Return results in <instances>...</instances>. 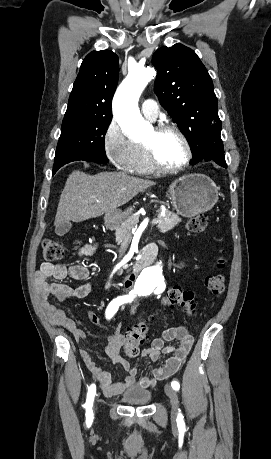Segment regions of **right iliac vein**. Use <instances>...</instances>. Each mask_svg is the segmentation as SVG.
<instances>
[{
    "instance_id": "63e3f726",
    "label": "right iliac vein",
    "mask_w": 271,
    "mask_h": 459,
    "mask_svg": "<svg viewBox=\"0 0 271 459\" xmlns=\"http://www.w3.org/2000/svg\"><path fill=\"white\" fill-rule=\"evenodd\" d=\"M93 410H94V413H95L96 412V407L95 406L93 407Z\"/></svg>"
}]
</instances>
